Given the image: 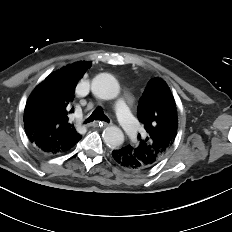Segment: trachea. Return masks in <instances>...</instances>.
<instances>
[{
	"instance_id": "trachea-1",
	"label": "trachea",
	"mask_w": 232,
	"mask_h": 232,
	"mask_svg": "<svg viewBox=\"0 0 232 232\" xmlns=\"http://www.w3.org/2000/svg\"><path fill=\"white\" fill-rule=\"evenodd\" d=\"M94 120H100L105 122L110 121L101 108L95 109L93 113L85 120V123H90Z\"/></svg>"
}]
</instances>
